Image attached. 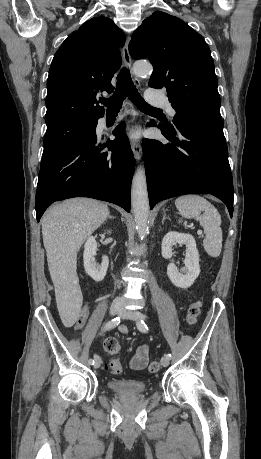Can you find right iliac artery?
Segmentation results:
<instances>
[{
    "mask_svg": "<svg viewBox=\"0 0 261 459\" xmlns=\"http://www.w3.org/2000/svg\"><path fill=\"white\" fill-rule=\"evenodd\" d=\"M120 320H121L120 317H116V318L112 319L111 321L107 322V323L105 324V326H104V330L106 331V330H110V329L116 327V326L120 323ZM97 357H98V355H95V356H94V359H89V361H88L89 364H92V365H93L94 362H95V359H96Z\"/></svg>",
    "mask_w": 261,
    "mask_h": 459,
    "instance_id": "obj_1",
    "label": "right iliac artery"
}]
</instances>
